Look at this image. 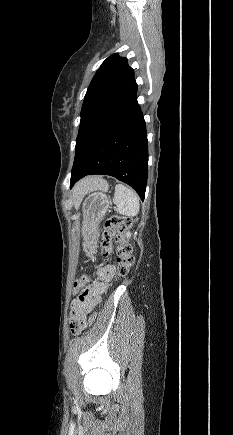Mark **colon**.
Listing matches in <instances>:
<instances>
[{"label":"colon","instance_id":"5ec220e1","mask_svg":"<svg viewBox=\"0 0 233 435\" xmlns=\"http://www.w3.org/2000/svg\"><path fill=\"white\" fill-rule=\"evenodd\" d=\"M131 224L132 221L129 217L114 215L109 217L103 225L101 251L103 257L107 259H110L115 254L117 266L116 278L126 277L130 267L134 263L132 248L124 240V234ZM114 244H116V247H114ZM79 280L83 286H86L90 281V276L83 274ZM94 319L95 314H91L89 322L92 323Z\"/></svg>","mask_w":233,"mask_h":435}]
</instances>
